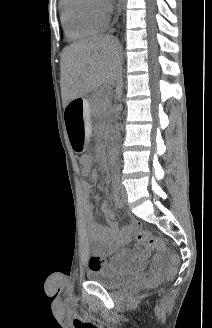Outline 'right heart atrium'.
<instances>
[{"instance_id":"obj_1","label":"right heart atrium","mask_w":212,"mask_h":328,"mask_svg":"<svg viewBox=\"0 0 212 328\" xmlns=\"http://www.w3.org/2000/svg\"><path fill=\"white\" fill-rule=\"evenodd\" d=\"M94 7L96 11L103 17H106L110 10V5L105 3L103 0H94Z\"/></svg>"}]
</instances>
